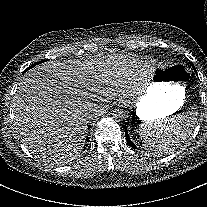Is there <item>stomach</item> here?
Instances as JSON below:
<instances>
[{
    "instance_id": "stomach-1",
    "label": "stomach",
    "mask_w": 207,
    "mask_h": 207,
    "mask_svg": "<svg viewBox=\"0 0 207 207\" xmlns=\"http://www.w3.org/2000/svg\"><path fill=\"white\" fill-rule=\"evenodd\" d=\"M151 68V83L136 103L137 117L144 123L165 119L179 110L184 104L185 88L189 80L183 64L153 65Z\"/></svg>"
}]
</instances>
